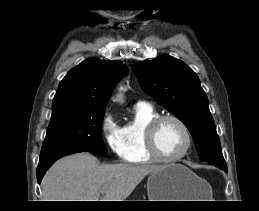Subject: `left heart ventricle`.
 <instances>
[{"label": "left heart ventricle", "mask_w": 259, "mask_h": 211, "mask_svg": "<svg viewBox=\"0 0 259 211\" xmlns=\"http://www.w3.org/2000/svg\"><path fill=\"white\" fill-rule=\"evenodd\" d=\"M157 146L166 157L180 154L186 146V136L182 128L174 121H164L157 131Z\"/></svg>", "instance_id": "b2bd125f"}]
</instances>
